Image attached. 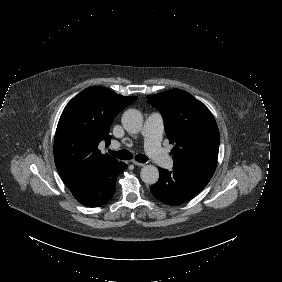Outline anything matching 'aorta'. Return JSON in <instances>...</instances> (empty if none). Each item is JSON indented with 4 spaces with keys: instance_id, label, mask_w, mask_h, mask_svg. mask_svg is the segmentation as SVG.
<instances>
[{
    "instance_id": "762f6f07",
    "label": "aorta",
    "mask_w": 282,
    "mask_h": 282,
    "mask_svg": "<svg viewBox=\"0 0 282 282\" xmlns=\"http://www.w3.org/2000/svg\"><path fill=\"white\" fill-rule=\"evenodd\" d=\"M122 125L127 132L137 133L143 125V116L137 109H128L122 115ZM142 181L146 184H155L159 179V170L153 165H145L140 172Z\"/></svg>"
}]
</instances>
